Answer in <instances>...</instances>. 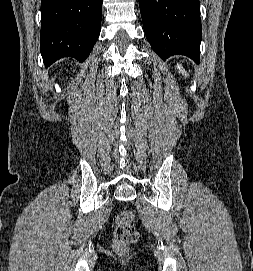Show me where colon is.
<instances>
[{
  "mask_svg": "<svg viewBox=\"0 0 253 271\" xmlns=\"http://www.w3.org/2000/svg\"><path fill=\"white\" fill-rule=\"evenodd\" d=\"M139 239V231L134 226V214L131 210H122L116 218V226L113 233L115 248L123 252L128 245Z\"/></svg>",
  "mask_w": 253,
  "mask_h": 271,
  "instance_id": "colon-1",
  "label": "colon"
}]
</instances>
